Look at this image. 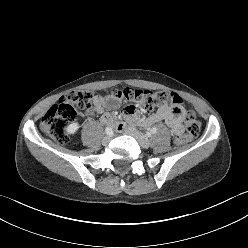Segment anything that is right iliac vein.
Listing matches in <instances>:
<instances>
[{
  "label": "right iliac vein",
  "instance_id": "63e3f726",
  "mask_svg": "<svg viewBox=\"0 0 248 248\" xmlns=\"http://www.w3.org/2000/svg\"><path fill=\"white\" fill-rule=\"evenodd\" d=\"M111 139H112V136H110V135L104 136L102 139L103 145H107L111 141Z\"/></svg>",
  "mask_w": 248,
  "mask_h": 248
}]
</instances>
